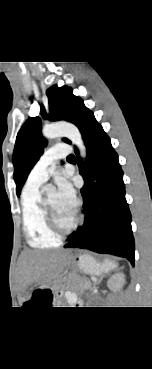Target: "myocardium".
<instances>
[{
	"mask_svg": "<svg viewBox=\"0 0 152 369\" xmlns=\"http://www.w3.org/2000/svg\"><path fill=\"white\" fill-rule=\"evenodd\" d=\"M42 206L45 212V216H46V222L47 225L49 227V229L59 238H62L66 235H69L71 232H73L78 224H79V217L77 215H75V218L72 222V224L66 228L62 227L56 216L54 215L53 211L50 209V207L47 204L46 199L42 200Z\"/></svg>",
	"mask_w": 152,
	"mask_h": 369,
	"instance_id": "1",
	"label": "myocardium"
}]
</instances>
